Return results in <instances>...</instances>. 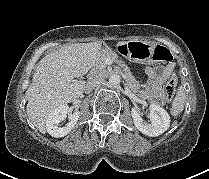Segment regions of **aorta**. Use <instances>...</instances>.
Returning <instances> with one entry per match:
<instances>
[{"mask_svg":"<svg viewBox=\"0 0 209 179\" xmlns=\"http://www.w3.org/2000/svg\"><path fill=\"white\" fill-rule=\"evenodd\" d=\"M109 83L111 85H117L120 83V76L117 74L111 75L109 78Z\"/></svg>","mask_w":209,"mask_h":179,"instance_id":"aorta-1","label":"aorta"}]
</instances>
